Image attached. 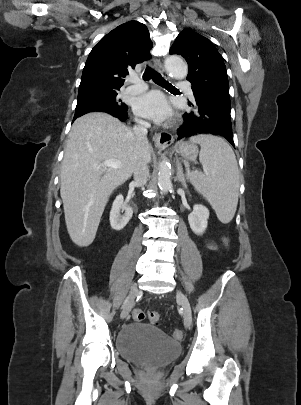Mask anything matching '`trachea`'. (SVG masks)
<instances>
[{
  "label": "trachea",
  "mask_w": 301,
  "mask_h": 405,
  "mask_svg": "<svg viewBox=\"0 0 301 405\" xmlns=\"http://www.w3.org/2000/svg\"><path fill=\"white\" fill-rule=\"evenodd\" d=\"M152 79L157 85L167 89V90H178L172 86L168 81H166L159 73L150 68L146 67L145 72L143 73V80L148 81Z\"/></svg>",
  "instance_id": "3493384b"
}]
</instances>
